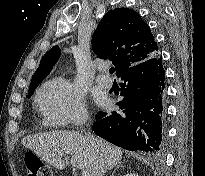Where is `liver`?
I'll return each mask as SVG.
<instances>
[{
	"label": "liver",
	"instance_id": "liver-1",
	"mask_svg": "<svg viewBox=\"0 0 205 176\" xmlns=\"http://www.w3.org/2000/svg\"><path fill=\"white\" fill-rule=\"evenodd\" d=\"M93 139L94 145L79 132L63 130L29 135L21 143L57 169L65 168L61 154L66 153L71 154L73 167L88 171L90 176H103L120 163L123 152L103 139Z\"/></svg>",
	"mask_w": 205,
	"mask_h": 176
}]
</instances>
